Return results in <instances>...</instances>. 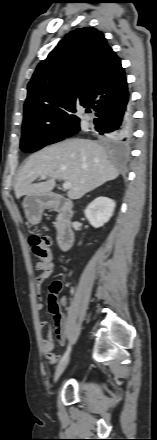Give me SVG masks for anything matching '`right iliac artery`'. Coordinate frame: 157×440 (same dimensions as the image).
<instances>
[{"label":"right iliac artery","mask_w":157,"mask_h":440,"mask_svg":"<svg viewBox=\"0 0 157 440\" xmlns=\"http://www.w3.org/2000/svg\"><path fill=\"white\" fill-rule=\"evenodd\" d=\"M70 351H71V347L68 346V347H67V350L65 351L64 355H63L62 358L60 359V362H59V363H62V362H63V361L69 356Z\"/></svg>","instance_id":"1"}]
</instances>
